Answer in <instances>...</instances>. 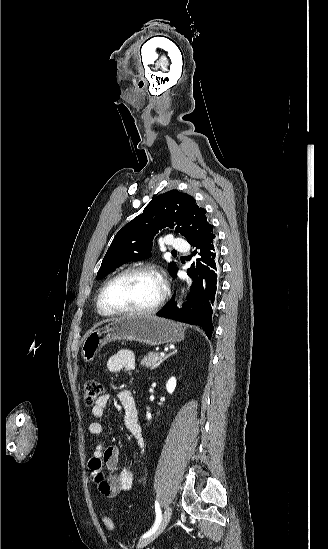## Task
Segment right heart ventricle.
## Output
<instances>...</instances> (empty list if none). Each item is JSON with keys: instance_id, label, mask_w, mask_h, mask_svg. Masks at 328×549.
Segmentation results:
<instances>
[{"instance_id": "right-heart-ventricle-1", "label": "right heart ventricle", "mask_w": 328, "mask_h": 549, "mask_svg": "<svg viewBox=\"0 0 328 549\" xmlns=\"http://www.w3.org/2000/svg\"><path fill=\"white\" fill-rule=\"evenodd\" d=\"M97 312L98 314L103 317V318H108L107 316L103 315L99 310H98V303H97Z\"/></svg>"}]
</instances>
